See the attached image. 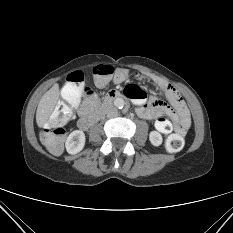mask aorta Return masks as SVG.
<instances>
[{"label":"aorta","mask_w":233,"mask_h":233,"mask_svg":"<svg viewBox=\"0 0 233 233\" xmlns=\"http://www.w3.org/2000/svg\"><path fill=\"white\" fill-rule=\"evenodd\" d=\"M114 105H115L116 108L122 109L124 107V105H125V101H124L123 98H116L114 100Z\"/></svg>","instance_id":"1"}]
</instances>
